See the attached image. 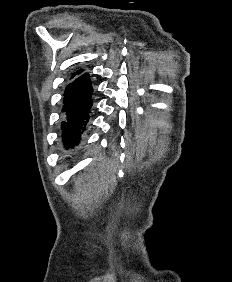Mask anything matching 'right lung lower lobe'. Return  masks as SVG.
Returning <instances> with one entry per match:
<instances>
[{
    "mask_svg": "<svg viewBox=\"0 0 232 282\" xmlns=\"http://www.w3.org/2000/svg\"><path fill=\"white\" fill-rule=\"evenodd\" d=\"M92 92L88 73L75 77L66 86L62 108L64 121L61 124V130L63 143L67 149L78 146L86 130L92 107Z\"/></svg>",
    "mask_w": 232,
    "mask_h": 282,
    "instance_id": "1",
    "label": "right lung lower lobe"
}]
</instances>
